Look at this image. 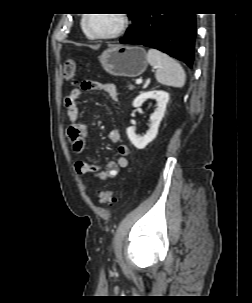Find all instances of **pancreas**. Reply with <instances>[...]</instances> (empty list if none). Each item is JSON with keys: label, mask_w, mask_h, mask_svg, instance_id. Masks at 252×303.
Returning a JSON list of instances; mask_svg holds the SVG:
<instances>
[{"label": "pancreas", "mask_w": 252, "mask_h": 303, "mask_svg": "<svg viewBox=\"0 0 252 303\" xmlns=\"http://www.w3.org/2000/svg\"><path fill=\"white\" fill-rule=\"evenodd\" d=\"M128 88H129V90H133V89H134V86L131 85V84H129V85H128Z\"/></svg>", "instance_id": "obj_1"}]
</instances>
